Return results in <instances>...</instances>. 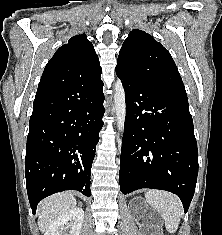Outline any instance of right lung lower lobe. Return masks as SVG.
Instances as JSON below:
<instances>
[{
    "label": "right lung lower lobe",
    "instance_id": "98d812e1",
    "mask_svg": "<svg viewBox=\"0 0 222 235\" xmlns=\"http://www.w3.org/2000/svg\"><path fill=\"white\" fill-rule=\"evenodd\" d=\"M100 75L38 85L25 157L33 214L40 200L56 192L77 190L90 197L91 167L105 112Z\"/></svg>",
    "mask_w": 222,
    "mask_h": 235
}]
</instances>
